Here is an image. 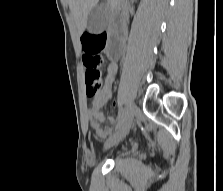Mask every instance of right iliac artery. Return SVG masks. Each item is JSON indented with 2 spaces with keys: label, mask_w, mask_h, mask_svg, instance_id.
Wrapping results in <instances>:
<instances>
[{
  "label": "right iliac artery",
  "mask_w": 223,
  "mask_h": 191,
  "mask_svg": "<svg viewBox=\"0 0 223 191\" xmlns=\"http://www.w3.org/2000/svg\"><path fill=\"white\" fill-rule=\"evenodd\" d=\"M126 111H127V108H122V109L120 110V115L122 116V118L124 117ZM117 128H118V127H117Z\"/></svg>",
  "instance_id": "right-iliac-artery-1"
}]
</instances>
